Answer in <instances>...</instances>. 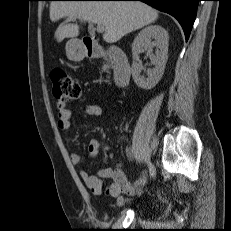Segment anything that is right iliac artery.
<instances>
[{
    "instance_id": "right-iliac-artery-1",
    "label": "right iliac artery",
    "mask_w": 231,
    "mask_h": 231,
    "mask_svg": "<svg viewBox=\"0 0 231 231\" xmlns=\"http://www.w3.org/2000/svg\"><path fill=\"white\" fill-rule=\"evenodd\" d=\"M146 182V176H143L142 178H140L137 182H136V184H135V186L137 187V186H140V185H144V183Z\"/></svg>"
}]
</instances>
